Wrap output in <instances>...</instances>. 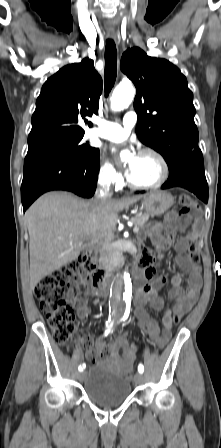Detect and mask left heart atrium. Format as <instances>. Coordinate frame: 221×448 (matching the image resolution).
Instances as JSON below:
<instances>
[{
	"label": "left heart atrium",
	"instance_id": "1",
	"mask_svg": "<svg viewBox=\"0 0 221 448\" xmlns=\"http://www.w3.org/2000/svg\"><path fill=\"white\" fill-rule=\"evenodd\" d=\"M111 153H115V150L112 149ZM135 167V163H134V159L131 160V162L125 167V172L128 176H130L134 170Z\"/></svg>",
	"mask_w": 221,
	"mask_h": 448
}]
</instances>
